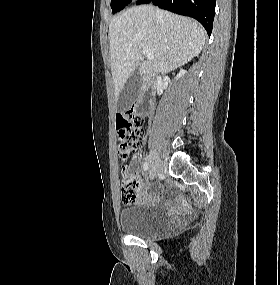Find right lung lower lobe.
Listing matches in <instances>:
<instances>
[{
	"mask_svg": "<svg viewBox=\"0 0 280 285\" xmlns=\"http://www.w3.org/2000/svg\"><path fill=\"white\" fill-rule=\"evenodd\" d=\"M152 2L160 8L198 20L208 35L212 32L216 0H138L137 5Z\"/></svg>",
	"mask_w": 280,
	"mask_h": 285,
	"instance_id": "right-lung-lower-lobe-1",
	"label": "right lung lower lobe"
}]
</instances>
